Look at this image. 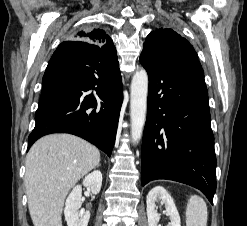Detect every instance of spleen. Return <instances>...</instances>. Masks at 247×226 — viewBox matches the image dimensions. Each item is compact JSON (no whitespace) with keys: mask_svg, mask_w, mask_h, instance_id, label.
Masks as SVG:
<instances>
[{"mask_svg":"<svg viewBox=\"0 0 247 226\" xmlns=\"http://www.w3.org/2000/svg\"><path fill=\"white\" fill-rule=\"evenodd\" d=\"M207 217L208 213L205 201L199 196H191L186 209L187 226H206Z\"/></svg>","mask_w":247,"mask_h":226,"instance_id":"obj_1","label":"spleen"}]
</instances>
